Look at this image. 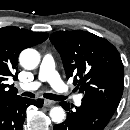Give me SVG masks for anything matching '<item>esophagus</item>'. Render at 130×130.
Listing matches in <instances>:
<instances>
[{
	"label": "esophagus",
	"mask_w": 130,
	"mask_h": 130,
	"mask_svg": "<svg viewBox=\"0 0 130 130\" xmlns=\"http://www.w3.org/2000/svg\"><path fill=\"white\" fill-rule=\"evenodd\" d=\"M55 104L56 103L54 101H51V100H48V99L44 100V106L45 107L51 108V107L55 106Z\"/></svg>",
	"instance_id": "1"
}]
</instances>
